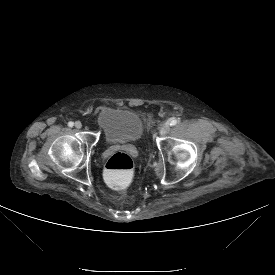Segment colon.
Returning a JSON list of instances; mask_svg holds the SVG:
<instances>
[{"instance_id":"obj_1","label":"colon","mask_w":275,"mask_h":275,"mask_svg":"<svg viewBox=\"0 0 275 275\" xmlns=\"http://www.w3.org/2000/svg\"><path fill=\"white\" fill-rule=\"evenodd\" d=\"M134 173V161L125 152L112 154L105 162L104 175L106 181L116 187H126Z\"/></svg>"}]
</instances>
